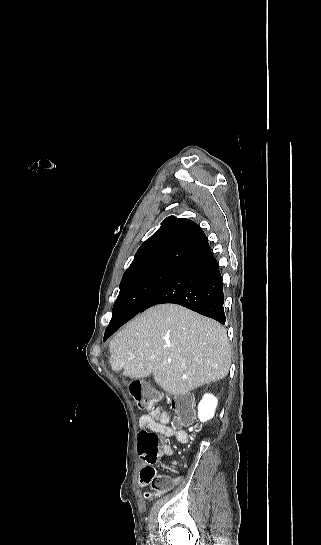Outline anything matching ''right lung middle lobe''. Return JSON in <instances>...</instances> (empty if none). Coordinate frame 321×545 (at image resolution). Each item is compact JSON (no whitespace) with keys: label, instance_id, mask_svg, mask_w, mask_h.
Segmentation results:
<instances>
[{"label":"right lung middle lobe","instance_id":"1","mask_svg":"<svg viewBox=\"0 0 321 545\" xmlns=\"http://www.w3.org/2000/svg\"><path fill=\"white\" fill-rule=\"evenodd\" d=\"M176 269L173 266L153 265L125 272L112 309L111 322L124 321L137 315Z\"/></svg>","mask_w":321,"mask_h":545}]
</instances>
